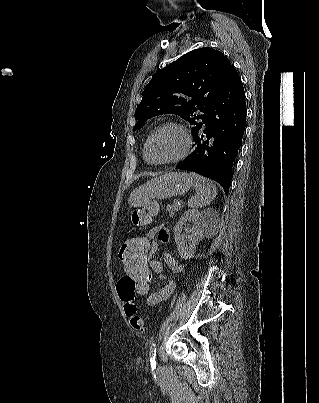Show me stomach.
I'll return each instance as SVG.
<instances>
[{"instance_id":"0dacf381","label":"stomach","mask_w":319,"mask_h":403,"mask_svg":"<svg viewBox=\"0 0 319 403\" xmlns=\"http://www.w3.org/2000/svg\"><path fill=\"white\" fill-rule=\"evenodd\" d=\"M195 182L186 172H169L135 188L129 197L130 206L141 207L151 199H167L188 192Z\"/></svg>"}]
</instances>
